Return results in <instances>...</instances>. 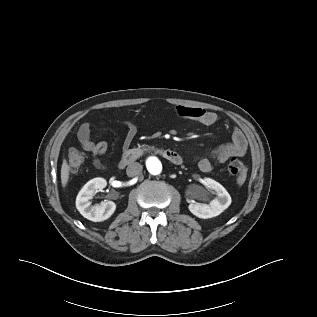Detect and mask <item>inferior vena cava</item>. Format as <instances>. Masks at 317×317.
<instances>
[{
	"label": "inferior vena cava",
	"instance_id": "1",
	"mask_svg": "<svg viewBox=\"0 0 317 317\" xmlns=\"http://www.w3.org/2000/svg\"><path fill=\"white\" fill-rule=\"evenodd\" d=\"M142 169L143 166L140 163L135 162L127 167L126 172L129 177H133L139 175L142 172Z\"/></svg>",
	"mask_w": 317,
	"mask_h": 317
}]
</instances>
